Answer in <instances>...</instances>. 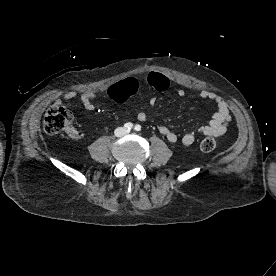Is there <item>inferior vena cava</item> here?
Listing matches in <instances>:
<instances>
[{"label":"inferior vena cava","instance_id":"obj_1","mask_svg":"<svg viewBox=\"0 0 276 276\" xmlns=\"http://www.w3.org/2000/svg\"><path fill=\"white\" fill-rule=\"evenodd\" d=\"M125 133H126V130H125L124 128H122V127L117 128V129L115 130V135H116V136H122V135H124Z\"/></svg>","mask_w":276,"mask_h":276}]
</instances>
